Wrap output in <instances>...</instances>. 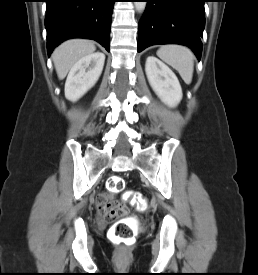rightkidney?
Returning a JSON list of instances; mask_svg holds the SVG:
<instances>
[{
  "label": "right kidney",
  "instance_id": "right-kidney-1",
  "mask_svg": "<svg viewBox=\"0 0 258 275\" xmlns=\"http://www.w3.org/2000/svg\"><path fill=\"white\" fill-rule=\"evenodd\" d=\"M105 61L101 52L81 58L71 68L65 83V96L76 101L91 89L99 79Z\"/></svg>",
  "mask_w": 258,
  "mask_h": 275
}]
</instances>
